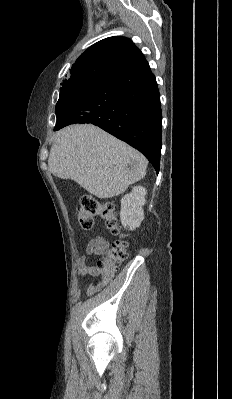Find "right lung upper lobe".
Returning a JSON list of instances; mask_svg holds the SVG:
<instances>
[{
  "mask_svg": "<svg viewBox=\"0 0 232 399\" xmlns=\"http://www.w3.org/2000/svg\"><path fill=\"white\" fill-rule=\"evenodd\" d=\"M145 60L142 52L126 37H109L89 47L72 65L68 79H107Z\"/></svg>",
  "mask_w": 232,
  "mask_h": 399,
  "instance_id": "obj_1",
  "label": "right lung upper lobe"
}]
</instances>
